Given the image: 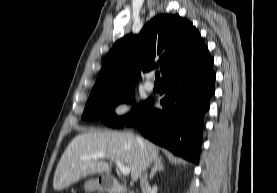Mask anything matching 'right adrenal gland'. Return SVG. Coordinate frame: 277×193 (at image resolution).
Masks as SVG:
<instances>
[{"mask_svg": "<svg viewBox=\"0 0 277 193\" xmlns=\"http://www.w3.org/2000/svg\"><path fill=\"white\" fill-rule=\"evenodd\" d=\"M157 171H164V166H163V162H162L161 157L157 158L154 162V165L151 169V173H150V177H149L150 180L153 179V177L155 176Z\"/></svg>", "mask_w": 277, "mask_h": 193, "instance_id": "2a0ac1e0", "label": "right adrenal gland"}]
</instances>
